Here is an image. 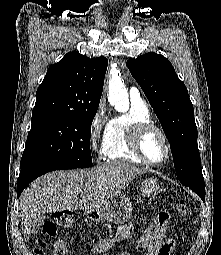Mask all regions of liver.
Listing matches in <instances>:
<instances>
[{
    "label": "liver",
    "mask_w": 221,
    "mask_h": 255,
    "mask_svg": "<svg viewBox=\"0 0 221 255\" xmlns=\"http://www.w3.org/2000/svg\"><path fill=\"white\" fill-rule=\"evenodd\" d=\"M144 173L145 169L114 161L88 170L45 174L30 184L19 199L24 239L30 237L32 225L39 216L76 210L88 214L99 210Z\"/></svg>",
    "instance_id": "liver-1"
}]
</instances>
